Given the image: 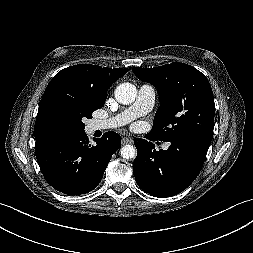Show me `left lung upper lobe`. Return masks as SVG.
<instances>
[{
	"mask_svg": "<svg viewBox=\"0 0 253 253\" xmlns=\"http://www.w3.org/2000/svg\"><path fill=\"white\" fill-rule=\"evenodd\" d=\"M157 88L161 105L149 135L160 141L195 134L213 137L215 104L208 79L194 67L174 62L155 68L132 69Z\"/></svg>",
	"mask_w": 253,
	"mask_h": 253,
	"instance_id": "left-lung-upper-lobe-1",
	"label": "left lung upper lobe"
}]
</instances>
